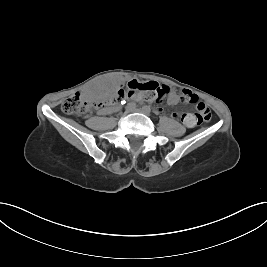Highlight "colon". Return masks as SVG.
I'll return each mask as SVG.
<instances>
[{
	"label": "colon",
	"mask_w": 267,
	"mask_h": 267,
	"mask_svg": "<svg viewBox=\"0 0 267 267\" xmlns=\"http://www.w3.org/2000/svg\"><path fill=\"white\" fill-rule=\"evenodd\" d=\"M168 93L169 88L158 82L132 80L128 83L126 90H118L115 94L110 95L106 102H90L82 93L78 92L66 98L61 105V109L66 114L80 116L86 115L93 109H98L108 104L113 105L120 100H125L130 97L161 103ZM181 101L189 104H196L197 113L194 114V118L197 124L206 123L211 119V113L208 107L206 105L197 107L198 99L190 91H183L181 94Z\"/></svg>",
	"instance_id": "1"
}]
</instances>
